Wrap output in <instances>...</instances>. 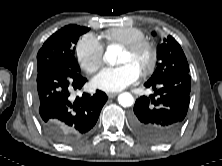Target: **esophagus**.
<instances>
[{
  "label": "esophagus",
  "mask_w": 222,
  "mask_h": 166,
  "mask_svg": "<svg viewBox=\"0 0 222 166\" xmlns=\"http://www.w3.org/2000/svg\"><path fill=\"white\" fill-rule=\"evenodd\" d=\"M117 94H118V93H107V96H108L109 98H113V97L117 96Z\"/></svg>",
  "instance_id": "esophagus-1"
}]
</instances>
